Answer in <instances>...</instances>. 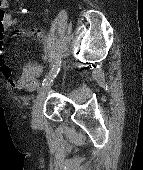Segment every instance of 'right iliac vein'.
Segmentation results:
<instances>
[{
    "label": "right iliac vein",
    "instance_id": "obj_1",
    "mask_svg": "<svg viewBox=\"0 0 143 170\" xmlns=\"http://www.w3.org/2000/svg\"><path fill=\"white\" fill-rule=\"evenodd\" d=\"M52 84V81L45 83L39 90V93L34 101L32 109V121L34 125H39L41 123L43 102Z\"/></svg>",
    "mask_w": 143,
    "mask_h": 170
}]
</instances>
